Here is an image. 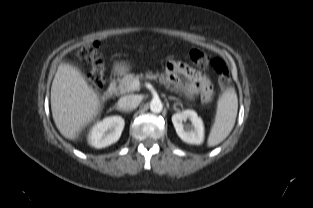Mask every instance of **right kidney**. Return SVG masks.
<instances>
[{
	"label": "right kidney",
	"mask_w": 313,
	"mask_h": 208,
	"mask_svg": "<svg viewBox=\"0 0 313 208\" xmlns=\"http://www.w3.org/2000/svg\"><path fill=\"white\" fill-rule=\"evenodd\" d=\"M125 122L121 116L106 117L97 122L89 133V144L95 148H104L117 142Z\"/></svg>",
	"instance_id": "obj_1"
}]
</instances>
